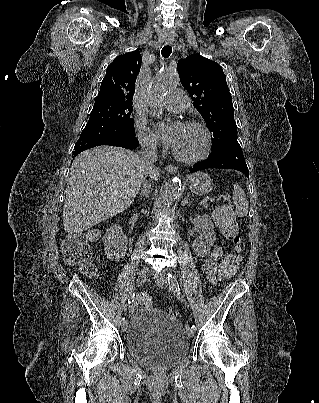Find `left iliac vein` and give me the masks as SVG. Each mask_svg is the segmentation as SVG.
I'll list each match as a JSON object with an SVG mask.
<instances>
[{
	"label": "left iliac vein",
	"instance_id": "left-iliac-vein-1",
	"mask_svg": "<svg viewBox=\"0 0 319 403\" xmlns=\"http://www.w3.org/2000/svg\"><path fill=\"white\" fill-rule=\"evenodd\" d=\"M156 284L160 287V288H167L168 287V281H167V279H166V277L165 276H163V275H158L157 277H156ZM194 331L195 330H193V329H189L188 330V336L189 337H193L194 336Z\"/></svg>",
	"mask_w": 319,
	"mask_h": 403
}]
</instances>
